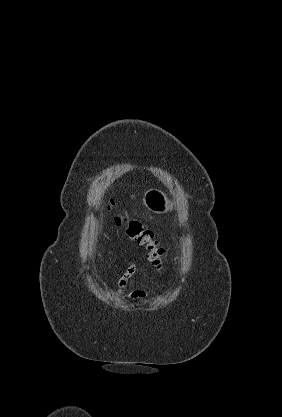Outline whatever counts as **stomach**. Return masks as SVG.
Listing matches in <instances>:
<instances>
[{"mask_svg": "<svg viewBox=\"0 0 282 417\" xmlns=\"http://www.w3.org/2000/svg\"><path fill=\"white\" fill-rule=\"evenodd\" d=\"M142 200L146 209L151 211V213H157V215L167 213L173 206V202L169 200L167 194L163 190H159V188H148L144 192Z\"/></svg>", "mask_w": 282, "mask_h": 417, "instance_id": "0dacf381", "label": "stomach"}]
</instances>
